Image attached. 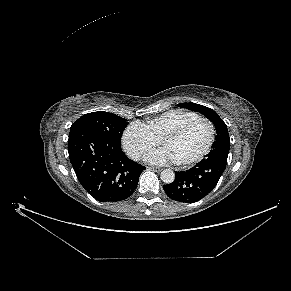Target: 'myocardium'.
<instances>
[{
	"instance_id": "myocardium-1",
	"label": "myocardium",
	"mask_w": 291,
	"mask_h": 291,
	"mask_svg": "<svg viewBox=\"0 0 291 291\" xmlns=\"http://www.w3.org/2000/svg\"><path fill=\"white\" fill-rule=\"evenodd\" d=\"M200 122L205 123L209 128V138H208V141H207L205 147L201 150V152L198 155H196L195 157H193L190 160L176 161V163L178 165H182V166L194 165V164L198 163L199 161H201L207 155V153L210 151L211 147L213 146L214 141H215V137H216V131H215V126H214L213 122L205 117H197L195 119L187 121L186 123L182 124L181 126L177 127L176 129L170 131L162 138V143L164 144L169 139H174V138L180 137L185 132H187L191 127H193L195 124L200 123Z\"/></svg>"
}]
</instances>
